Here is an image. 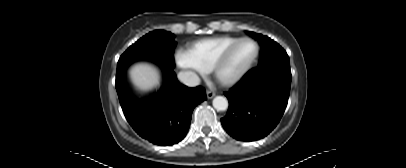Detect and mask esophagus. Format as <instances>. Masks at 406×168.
Wrapping results in <instances>:
<instances>
[{"mask_svg":"<svg viewBox=\"0 0 406 168\" xmlns=\"http://www.w3.org/2000/svg\"><path fill=\"white\" fill-rule=\"evenodd\" d=\"M206 95L208 99H212L215 96V92L212 90H207Z\"/></svg>","mask_w":406,"mask_h":168,"instance_id":"34e87169","label":"esophagus"}]
</instances>
